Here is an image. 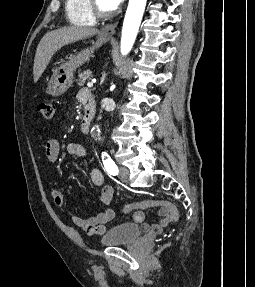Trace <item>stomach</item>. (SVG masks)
<instances>
[{"label":"stomach","mask_w":255,"mask_h":287,"mask_svg":"<svg viewBox=\"0 0 255 287\" xmlns=\"http://www.w3.org/2000/svg\"><path fill=\"white\" fill-rule=\"evenodd\" d=\"M108 40H110V38L99 36L97 42H95L91 48H85V50L78 52L76 56L69 58L70 62H68V66H66L63 74L58 72V70H55V74L48 84V94H50V96H62L68 88H71L76 68H78V66H83L85 62H88L89 58H92L94 50L101 48Z\"/></svg>","instance_id":"obj_1"}]
</instances>
